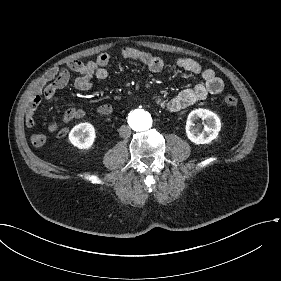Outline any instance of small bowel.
<instances>
[{"mask_svg": "<svg viewBox=\"0 0 281 281\" xmlns=\"http://www.w3.org/2000/svg\"><path fill=\"white\" fill-rule=\"evenodd\" d=\"M121 55L125 59L135 60L145 65L153 73H159L164 69V60L156 55L138 50L133 47H124ZM110 63V56L107 53H101L95 60L82 62L73 60L68 64V69L52 68L47 71L35 87V93L28 101L25 108V123L28 128L35 126V113L40 104L42 95L47 100H55L56 93L66 87L70 82V71L78 74L74 81V86L80 91L90 89L92 78L105 79L108 76L107 66ZM176 65L185 72L199 75L202 82L195 86L185 89L172 97L156 96L155 104L169 113L183 111L195 103L205 99L210 95H218L224 89V81L210 68L202 67L198 62L190 58H179ZM96 113L102 116H108L113 113V107L110 104H101L96 107ZM85 110L76 105H70L62 118L49 125L48 131L55 133L72 120L80 119L85 116ZM27 135L32 136V143L37 146H43L46 137L42 133L34 134L33 129L27 130Z\"/></svg>", "mask_w": 281, "mask_h": 281, "instance_id": "1", "label": "small bowel"}]
</instances>
